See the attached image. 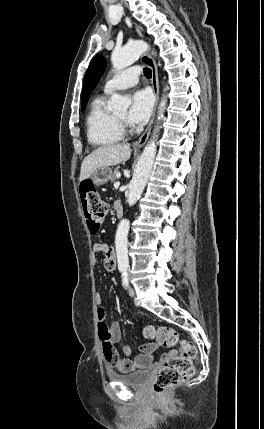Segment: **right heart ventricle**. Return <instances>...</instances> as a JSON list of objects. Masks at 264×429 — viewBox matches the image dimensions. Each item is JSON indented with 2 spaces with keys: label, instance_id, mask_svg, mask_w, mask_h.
<instances>
[{
  "label": "right heart ventricle",
  "instance_id": "obj_1",
  "mask_svg": "<svg viewBox=\"0 0 264 429\" xmlns=\"http://www.w3.org/2000/svg\"><path fill=\"white\" fill-rule=\"evenodd\" d=\"M88 141L98 147L118 143L123 137V131L117 124L114 115L106 108V96L96 97L90 106L87 119Z\"/></svg>",
  "mask_w": 264,
  "mask_h": 429
}]
</instances>
